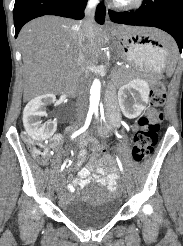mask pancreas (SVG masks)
Instances as JSON below:
<instances>
[{"label":"pancreas","instance_id":"pancreas-1","mask_svg":"<svg viewBox=\"0 0 183 246\" xmlns=\"http://www.w3.org/2000/svg\"><path fill=\"white\" fill-rule=\"evenodd\" d=\"M122 70L124 71V72H129L130 70H126V69H124V68H122Z\"/></svg>","mask_w":183,"mask_h":246}]
</instances>
